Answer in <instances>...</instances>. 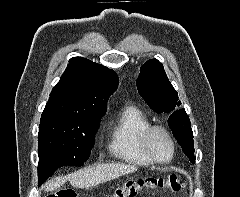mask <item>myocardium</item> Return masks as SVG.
Returning <instances> with one entry per match:
<instances>
[{"label": "myocardium", "instance_id": "myocardium-1", "mask_svg": "<svg viewBox=\"0 0 240 197\" xmlns=\"http://www.w3.org/2000/svg\"><path fill=\"white\" fill-rule=\"evenodd\" d=\"M156 132H162L170 141L171 143V156L167 160H160L157 158V156L154 154L152 147H151V138L154 133ZM142 146L145 154L148 156V158L155 164L159 165H167L171 163L176 155V142L173 138L170 131L161 125H150L143 133L142 135Z\"/></svg>", "mask_w": 240, "mask_h": 197}]
</instances>
